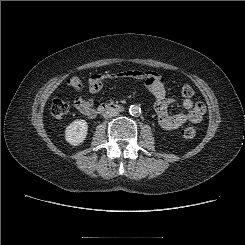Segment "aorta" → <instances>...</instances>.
I'll use <instances>...</instances> for the list:
<instances>
[{
  "instance_id": "1",
  "label": "aorta",
  "mask_w": 245,
  "mask_h": 245,
  "mask_svg": "<svg viewBox=\"0 0 245 245\" xmlns=\"http://www.w3.org/2000/svg\"><path fill=\"white\" fill-rule=\"evenodd\" d=\"M129 113H130L132 116H138V115H140V113H141V108H140V106H138V105H131V106L129 107Z\"/></svg>"
}]
</instances>
